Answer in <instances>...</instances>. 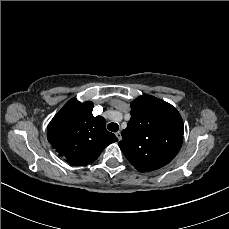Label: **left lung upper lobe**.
<instances>
[{"instance_id": "5c2ea615", "label": "left lung upper lobe", "mask_w": 229, "mask_h": 229, "mask_svg": "<svg viewBox=\"0 0 229 229\" xmlns=\"http://www.w3.org/2000/svg\"><path fill=\"white\" fill-rule=\"evenodd\" d=\"M183 134V120L172 105L143 95L131 103V119L119 147L138 171H154L177 155Z\"/></svg>"}]
</instances>
